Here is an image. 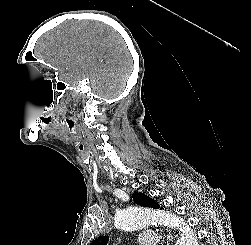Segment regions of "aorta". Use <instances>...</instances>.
Returning a JSON list of instances; mask_svg holds the SVG:
<instances>
[{
	"label": "aorta",
	"instance_id": "1",
	"mask_svg": "<svg viewBox=\"0 0 251 245\" xmlns=\"http://www.w3.org/2000/svg\"><path fill=\"white\" fill-rule=\"evenodd\" d=\"M154 222H160L179 230L180 237L175 245H198L196 233L182 218L176 215L134 206L118 211L114 219L115 226L124 231L139 230Z\"/></svg>",
	"mask_w": 251,
	"mask_h": 245
}]
</instances>
